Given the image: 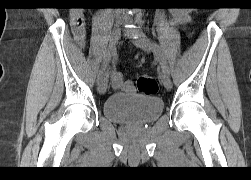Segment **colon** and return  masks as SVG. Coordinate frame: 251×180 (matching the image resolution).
<instances>
[{"label":"colon","instance_id":"1","mask_svg":"<svg viewBox=\"0 0 251 180\" xmlns=\"http://www.w3.org/2000/svg\"><path fill=\"white\" fill-rule=\"evenodd\" d=\"M137 89L145 95H154L158 92V83L155 78L143 75L137 80Z\"/></svg>","mask_w":251,"mask_h":180}]
</instances>
